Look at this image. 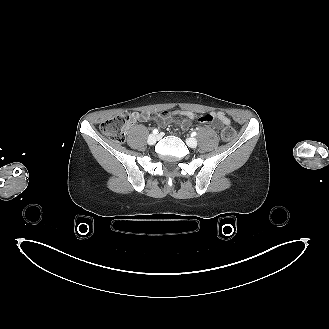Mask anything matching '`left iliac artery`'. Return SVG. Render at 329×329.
I'll use <instances>...</instances> for the list:
<instances>
[{
    "instance_id": "44dca946",
    "label": "left iliac artery",
    "mask_w": 329,
    "mask_h": 329,
    "mask_svg": "<svg viewBox=\"0 0 329 329\" xmlns=\"http://www.w3.org/2000/svg\"><path fill=\"white\" fill-rule=\"evenodd\" d=\"M197 133L195 131L192 132V136H196Z\"/></svg>"
}]
</instances>
